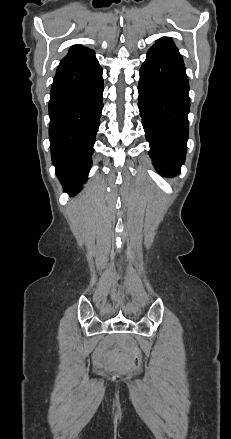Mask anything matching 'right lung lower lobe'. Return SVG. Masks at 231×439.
<instances>
[{"instance_id": "1", "label": "right lung lower lobe", "mask_w": 231, "mask_h": 439, "mask_svg": "<svg viewBox=\"0 0 231 439\" xmlns=\"http://www.w3.org/2000/svg\"><path fill=\"white\" fill-rule=\"evenodd\" d=\"M103 90L102 67L95 56L54 77L49 102L51 156L70 195L82 189L91 168Z\"/></svg>"}]
</instances>
